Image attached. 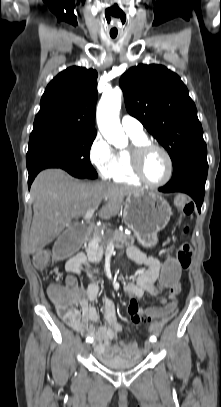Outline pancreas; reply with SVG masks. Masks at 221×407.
<instances>
[{
	"instance_id": "1",
	"label": "pancreas",
	"mask_w": 221,
	"mask_h": 407,
	"mask_svg": "<svg viewBox=\"0 0 221 407\" xmlns=\"http://www.w3.org/2000/svg\"><path fill=\"white\" fill-rule=\"evenodd\" d=\"M100 238L99 230H95L89 238L88 257L92 262H98L102 259L106 245L112 243L116 247H130L134 245L135 238L123 231H109L103 236V244L99 249L95 248V241Z\"/></svg>"
}]
</instances>
